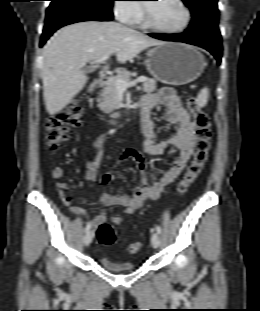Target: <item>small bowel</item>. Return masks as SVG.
I'll use <instances>...</instances> for the list:
<instances>
[{
	"label": "small bowel",
	"mask_w": 260,
	"mask_h": 311,
	"mask_svg": "<svg viewBox=\"0 0 260 311\" xmlns=\"http://www.w3.org/2000/svg\"><path fill=\"white\" fill-rule=\"evenodd\" d=\"M159 105L166 107L167 111L163 121L157 126L150 119L149 114L152 109ZM140 108L141 133L144 138L143 146L140 149H125L118 156L119 161L131 159L136 162L141 173L139 182L134 187L131 195H111L105 192H100L98 194L99 200L104 209L111 205H119L123 208V213L126 215L133 214L145 200L157 198L166 186L170 185L177 179L188 165L196 141L195 125L173 89L163 88L156 93L145 96L140 103ZM171 126H176V131L168 137L158 140V132L167 131ZM106 141L107 135L103 134L97 138L94 144L96 157L87 160V181H93L97 177L102 161V148ZM169 147H175L178 149L179 155L172 166L161 174L154 184L150 185L146 175V160L150 156L163 154ZM64 175L65 170L63 167H55L52 171V177L56 181L60 198L63 204L69 207L71 213L79 217H85L86 212L82 207L71 205L73 196L66 193L69 186L63 180ZM111 179L112 173L107 171L101 176L100 181L103 185H107L110 183ZM105 220L106 213L103 210L101 214L91 219L88 224L90 225V228H94ZM112 221L114 224L122 223L123 215H114Z\"/></svg>",
	"instance_id": "c3829d8e"
}]
</instances>
